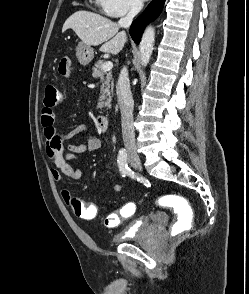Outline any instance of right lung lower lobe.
<instances>
[{"mask_svg":"<svg viewBox=\"0 0 249 294\" xmlns=\"http://www.w3.org/2000/svg\"><path fill=\"white\" fill-rule=\"evenodd\" d=\"M165 0H153L146 10L133 21L130 27V35L135 43L139 44L143 30L149 22L156 19L164 6Z\"/></svg>","mask_w":249,"mask_h":294,"instance_id":"right-lung-lower-lobe-1","label":"right lung lower lobe"}]
</instances>
